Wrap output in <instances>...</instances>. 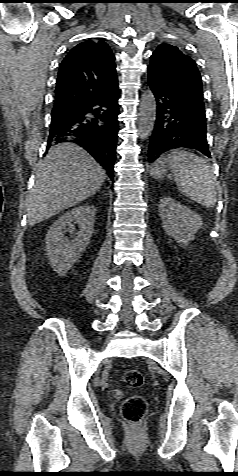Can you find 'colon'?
<instances>
[{"label": "colon", "instance_id": "1", "mask_svg": "<svg viewBox=\"0 0 238 476\" xmlns=\"http://www.w3.org/2000/svg\"><path fill=\"white\" fill-rule=\"evenodd\" d=\"M125 384L131 388L141 387L144 383V377L138 369H128L123 375ZM147 411L145 399L139 395H133L127 398L122 406V415L126 421L131 424H138L142 421Z\"/></svg>", "mask_w": 238, "mask_h": 476}]
</instances>
